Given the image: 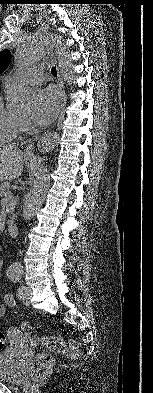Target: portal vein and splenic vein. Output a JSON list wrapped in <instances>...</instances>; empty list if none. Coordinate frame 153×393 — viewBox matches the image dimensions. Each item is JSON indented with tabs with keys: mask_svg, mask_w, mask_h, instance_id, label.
Here are the masks:
<instances>
[{
	"mask_svg": "<svg viewBox=\"0 0 153 393\" xmlns=\"http://www.w3.org/2000/svg\"><path fill=\"white\" fill-rule=\"evenodd\" d=\"M12 198V194L9 193L8 195L5 196V200H10Z\"/></svg>",
	"mask_w": 153,
	"mask_h": 393,
	"instance_id": "obj_1",
	"label": "portal vein and splenic vein"
}]
</instances>
